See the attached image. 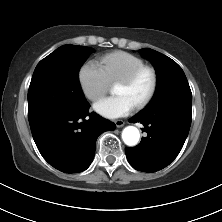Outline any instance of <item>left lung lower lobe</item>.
Instances as JSON below:
<instances>
[{
	"label": "left lung lower lobe",
	"mask_w": 222,
	"mask_h": 222,
	"mask_svg": "<svg viewBox=\"0 0 222 222\" xmlns=\"http://www.w3.org/2000/svg\"><path fill=\"white\" fill-rule=\"evenodd\" d=\"M129 121L142 123L148 133L136 147L125 148L129 163L136 170L156 172L181 151L191 125V106L167 102L141 111Z\"/></svg>",
	"instance_id": "0a47b994"
}]
</instances>
